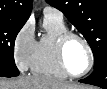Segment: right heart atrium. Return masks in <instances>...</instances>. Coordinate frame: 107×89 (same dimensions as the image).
<instances>
[{
  "label": "right heart atrium",
  "mask_w": 107,
  "mask_h": 89,
  "mask_svg": "<svg viewBox=\"0 0 107 89\" xmlns=\"http://www.w3.org/2000/svg\"><path fill=\"white\" fill-rule=\"evenodd\" d=\"M36 44L34 25L28 21L18 31L13 42L14 60L21 71L31 67Z\"/></svg>",
  "instance_id": "d8ad5b80"
}]
</instances>
